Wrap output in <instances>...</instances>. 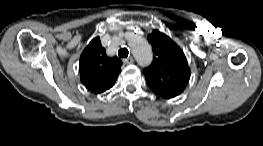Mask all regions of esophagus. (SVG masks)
Instances as JSON below:
<instances>
[{
    "label": "esophagus",
    "instance_id": "34e87169",
    "mask_svg": "<svg viewBox=\"0 0 263 146\" xmlns=\"http://www.w3.org/2000/svg\"><path fill=\"white\" fill-rule=\"evenodd\" d=\"M123 62L127 65L132 64L134 62V59L132 57H128L126 59H123Z\"/></svg>",
    "mask_w": 263,
    "mask_h": 146
}]
</instances>
